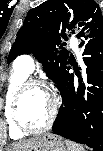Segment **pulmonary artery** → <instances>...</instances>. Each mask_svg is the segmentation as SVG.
Masks as SVG:
<instances>
[{"mask_svg":"<svg viewBox=\"0 0 103 151\" xmlns=\"http://www.w3.org/2000/svg\"><path fill=\"white\" fill-rule=\"evenodd\" d=\"M77 44H78L77 40L74 37H72L70 39V46L76 50ZM16 65L22 70H24L26 73L30 74L33 72L35 68V60L32 55L24 54L16 59Z\"/></svg>","mask_w":103,"mask_h":151,"instance_id":"pulmonary-artery-1","label":"pulmonary artery"}]
</instances>
